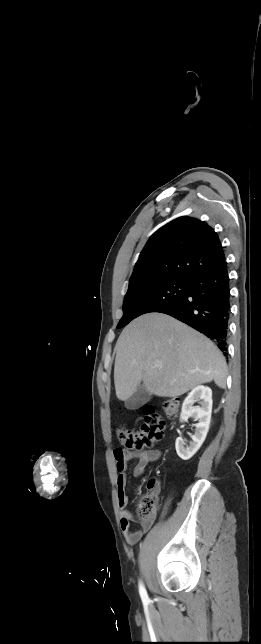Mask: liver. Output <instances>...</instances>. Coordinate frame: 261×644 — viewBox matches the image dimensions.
<instances>
[{
    "label": "liver",
    "mask_w": 261,
    "mask_h": 644,
    "mask_svg": "<svg viewBox=\"0 0 261 644\" xmlns=\"http://www.w3.org/2000/svg\"><path fill=\"white\" fill-rule=\"evenodd\" d=\"M227 374L223 354L207 337L166 314L134 319L116 343L114 384L121 401L142 381L150 394L172 398L211 381L225 388Z\"/></svg>",
    "instance_id": "obj_1"
}]
</instances>
